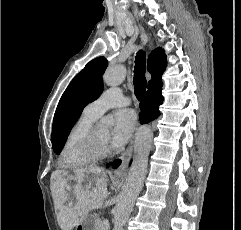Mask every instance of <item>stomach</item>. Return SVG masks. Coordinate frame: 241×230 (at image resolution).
I'll return each instance as SVG.
<instances>
[{
	"mask_svg": "<svg viewBox=\"0 0 241 230\" xmlns=\"http://www.w3.org/2000/svg\"><path fill=\"white\" fill-rule=\"evenodd\" d=\"M91 181H94V177L90 175ZM96 222L95 219L91 216H87L80 225L76 227V230H95Z\"/></svg>",
	"mask_w": 241,
	"mask_h": 230,
	"instance_id": "stomach-1",
	"label": "stomach"
}]
</instances>
